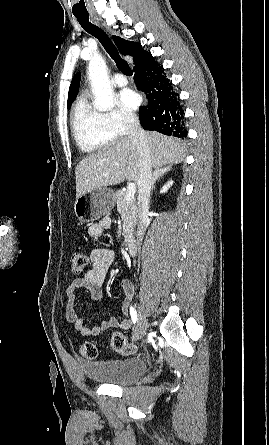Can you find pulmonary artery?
Returning a JSON list of instances; mask_svg holds the SVG:
<instances>
[{
	"instance_id": "pulmonary-artery-1",
	"label": "pulmonary artery",
	"mask_w": 269,
	"mask_h": 445,
	"mask_svg": "<svg viewBox=\"0 0 269 445\" xmlns=\"http://www.w3.org/2000/svg\"><path fill=\"white\" fill-rule=\"evenodd\" d=\"M111 82L114 86L123 87L127 84V79L121 74H115Z\"/></svg>"
}]
</instances>
